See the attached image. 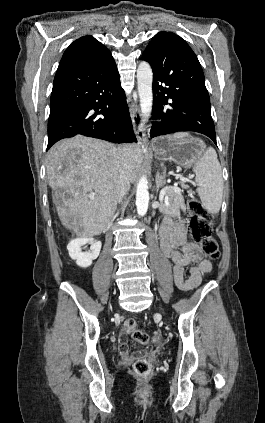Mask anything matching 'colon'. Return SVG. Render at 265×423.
Listing matches in <instances>:
<instances>
[{
  "mask_svg": "<svg viewBox=\"0 0 265 423\" xmlns=\"http://www.w3.org/2000/svg\"><path fill=\"white\" fill-rule=\"evenodd\" d=\"M188 207L190 210L188 226L194 242L201 246L205 255L214 260L218 259L220 257V249L217 241L212 237L211 214L195 199L188 201ZM124 329L131 334L135 341L143 345L159 344L161 341L160 335L151 336L138 329L137 322L134 319H128L124 324ZM133 368L134 372L141 377L149 376L152 372L151 365L145 359L136 360Z\"/></svg>",
  "mask_w": 265,
  "mask_h": 423,
  "instance_id": "obj_1",
  "label": "colon"
}]
</instances>
